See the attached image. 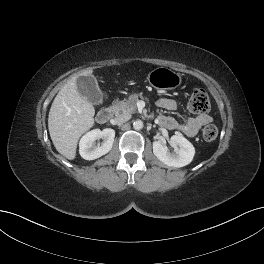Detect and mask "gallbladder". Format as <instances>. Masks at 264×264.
Returning a JSON list of instances; mask_svg holds the SVG:
<instances>
[{
  "label": "gallbladder",
  "mask_w": 264,
  "mask_h": 264,
  "mask_svg": "<svg viewBox=\"0 0 264 264\" xmlns=\"http://www.w3.org/2000/svg\"><path fill=\"white\" fill-rule=\"evenodd\" d=\"M76 85L79 94L88 102L99 104L103 101V94L94 76H80L77 78Z\"/></svg>",
  "instance_id": "obj_1"
}]
</instances>
